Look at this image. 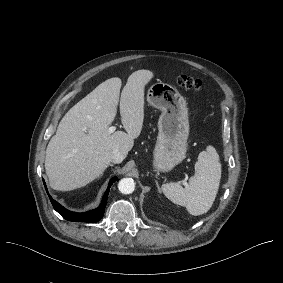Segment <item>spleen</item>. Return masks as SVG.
I'll return each mask as SVG.
<instances>
[{
	"mask_svg": "<svg viewBox=\"0 0 283 283\" xmlns=\"http://www.w3.org/2000/svg\"><path fill=\"white\" fill-rule=\"evenodd\" d=\"M197 175L184 188L176 182L166 183L162 190L172 202L186 206L189 213L198 216L207 213L217 197L222 176L219 153L213 145L198 156Z\"/></svg>",
	"mask_w": 283,
	"mask_h": 283,
	"instance_id": "1",
	"label": "spleen"
}]
</instances>
